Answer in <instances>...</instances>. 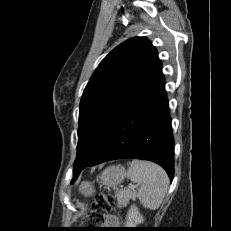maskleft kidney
Instances as JSON below:
<instances>
[{
    "mask_svg": "<svg viewBox=\"0 0 231 231\" xmlns=\"http://www.w3.org/2000/svg\"><path fill=\"white\" fill-rule=\"evenodd\" d=\"M144 221L143 217L140 215L138 208L132 205L127 214V221L125 223L126 227L134 228L137 224Z\"/></svg>",
    "mask_w": 231,
    "mask_h": 231,
    "instance_id": "5707ae66",
    "label": "left kidney"
}]
</instances>
